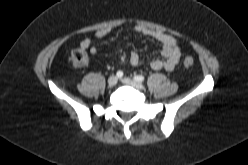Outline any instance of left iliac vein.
<instances>
[{
	"mask_svg": "<svg viewBox=\"0 0 248 165\" xmlns=\"http://www.w3.org/2000/svg\"><path fill=\"white\" fill-rule=\"evenodd\" d=\"M122 82L125 83V84H127V85H129V86H131V87H133V88H135V89H137V90L144 89L143 84H141L138 81L132 80L130 78H123L122 79Z\"/></svg>",
	"mask_w": 248,
	"mask_h": 165,
	"instance_id": "obj_1",
	"label": "left iliac vein"
}]
</instances>
